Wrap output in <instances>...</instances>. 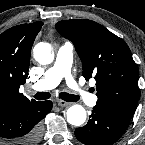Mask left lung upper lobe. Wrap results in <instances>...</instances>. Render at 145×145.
I'll return each instance as SVG.
<instances>
[{"label": "left lung upper lobe", "instance_id": "obj_1", "mask_svg": "<svg viewBox=\"0 0 145 145\" xmlns=\"http://www.w3.org/2000/svg\"><path fill=\"white\" fill-rule=\"evenodd\" d=\"M57 31L73 42L83 76L96 80V106L131 120L138 100V66L127 44L91 20H64Z\"/></svg>", "mask_w": 145, "mask_h": 145}]
</instances>
